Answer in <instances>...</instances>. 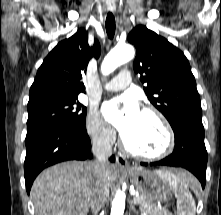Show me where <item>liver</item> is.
<instances>
[{
	"label": "liver",
	"mask_w": 221,
	"mask_h": 215,
	"mask_svg": "<svg viewBox=\"0 0 221 215\" xmlns=\"http://www.w3.org/2000/svg\"><path fill=\"white\" fill-rule=\"evenodd\" d=\"M116 174V166L107 164L105 180L108 187L113 184ZM95 187L91 162H64L47 168L31 188L35 215H87Z\"/></svg>",
	"instance_id": "obj_1"
}]
</instances>
